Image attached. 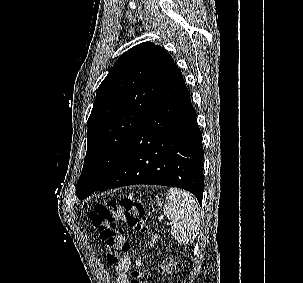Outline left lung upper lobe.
Returning <instances> with one entry per match:
<instances>
[{
    "label": "left lung upper lobe",
    "instance_id": "1",
    "mask_svg": "<svg viewBox=\"0 0 303 283\" xmlns=\"http://www.w3.org/2000/svg\"><path fill=\"white\" fill-rule=\"evenodd\" d=\"M173 64L164 48L146 42L113 65L97 90L87 122V153L77 195L111 176Z\"/></svg>",
    "mask_w": 303,
    "mask_h": 283
}]
</instances>
